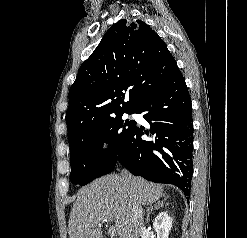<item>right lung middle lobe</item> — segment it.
<instances>
[{
	"label": "right lung middle lobe",
	"instance_id": "right-lung-middle-lobe-1",
	"mask_svg": "<svg viewBox=\"0 0 247 238\" xmlns=\"http://www.w3.org/2000/svg\"><path fill=\"white\" fill-rule=\"evenodd\" d=\"M123 114L89 128L70 146L73 184L86 185L114 169L135 124L134 120H123ZM105 140L108 150L102 148Z\"/></svg>",
	"mask_w": 247,
	"mask_h": 238
}]
</instances>
